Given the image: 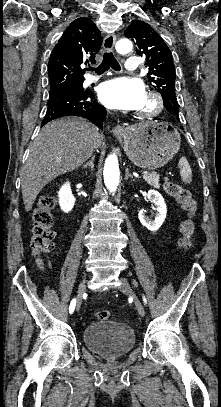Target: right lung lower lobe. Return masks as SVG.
<instances>
[{
  "mask_svg": "<svg viewBox=\"0 0 221 407\" xmlns=\"http://www.w3.org/2000/svg\"><path fill=\"white\" fill-rule=\"evenodd\" d=\"M81 116L91 120L100 129L106 109L97 103L92 91L83 88H65L49 94L48 107L42 126L64 116Z\"/></svg>",
  "mask_w": 221,
  "mask_h": 407,
  "instance_id": "obj_1",
  "label": "right lung lower lobe"
}]
</instances>
